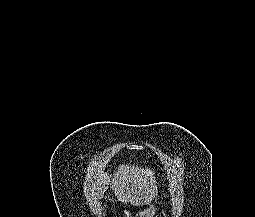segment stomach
I'll use <instances>...</instances> for the list:
<instances>
[{
    "label": "stomach",
    "instance_id": "1",
    "mask_svg": "<svg viewBox=\"0 0 255 217\" xmlns=\"http://www.w3.org/2000/svg\"><path fill=\"white\" fill-rule=\"evenodd\" d=\"M155 211L156 209L154 207H151L149 210L139 212L138 217H153L155 215Z\"/></svg>",
    "mask_w": 255,
    "mask_h": 217
}]
</instances>
